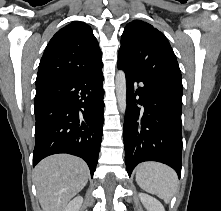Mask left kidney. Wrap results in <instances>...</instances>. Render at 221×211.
<instances>
[{"instance_id":"obj_1","label":"left kidney","mask_w":221,"mask_h":211,"mask_svg":"<svg viewBox=\"0 0 221 211\" xmlns=\"http://www.w3.org/2000/svg\"><path fill=\"white\" fill-rule=\"evenodd\" d=\"M139 197L147 211H165L163 205L156 198L144 193H140Z\"/></svg>"}]
</instances>
